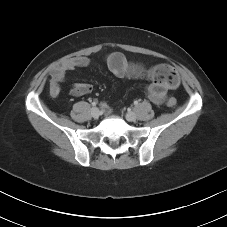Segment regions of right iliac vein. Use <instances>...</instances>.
<instances>
[{
  "label": "right iliac vein",
  "instance_id": "1",
  "mask_svg": "<svg viewBox=\"0 0 227 227\" xmlns=\"http://www.w3.org/2000/svg\"><path fill=\"white\" fill-rule=\"evenodd\" d=\"M91 115L93 118L97 119L100 116V111L98 108L94 107L91 109Z\"/></svg>",
  "mask_w": 227,
  "mask_h": 227
}]
</instances>
